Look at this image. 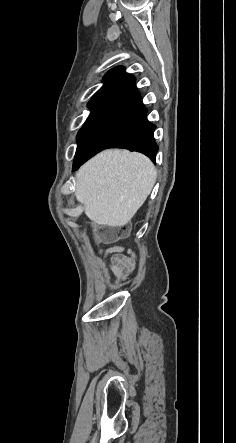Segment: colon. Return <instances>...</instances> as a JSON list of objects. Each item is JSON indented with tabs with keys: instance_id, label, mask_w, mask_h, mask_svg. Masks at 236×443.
Returning a JSON list of instances; mask_svg holds the SVG:
<instances>
[{
	"instance_id": "5ec220e1",
	"label": "colon",
	"mask_w": 236,
	"mask_h": 443,
	"mask_svg": "<svg viewBox=\"0 0 236 443\" xmlns=\"http://www.w3.org/2000/svg\"><path fill=\"white\" fill-rule=\"evenodd\" d=\"M129 232L128 224L104 227L99 230V238L105 242H115L124 238Z\"/></svg>"
}]
</instances>
